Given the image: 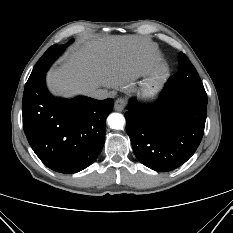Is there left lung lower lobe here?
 Masks as SVG:
<instances>
[{"label": "left lung lower lobe", "mask_w": 233, "mask_h": 233, "mask_svg": "<svg viewBox=\"0 0 233 233\" xmlns=\"http://www.w3.org/2000/svg\"><path fill=\"white\" fill-rule=\"evenodd\" d=\"M205 91L165 84L159 101L149 107L131 101L126 131L137 159L158 172L185 163L199 146L207 112Z\"/></svg>", "instance_id": "0a47b994"}]
</instances>
